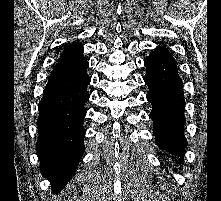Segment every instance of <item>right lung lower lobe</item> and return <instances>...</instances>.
<instances>
[{"instance_id":"obj_1","label":"right lung lower lobe","mask_w":221,"mask_h":201,"mask_svg":"<svg viewBox=\"0 0 221 201\" xmlns=\"http://www.w3.org/2000/svg\"><path fill=\"white\" fill-rule=\"evenodd\" d=\"M88 62L58 63L53 69L39 103L36 145L40 169L58 194L74 173L85 147L82 121L87 86Z\"/></svg>"}]
</instances>
